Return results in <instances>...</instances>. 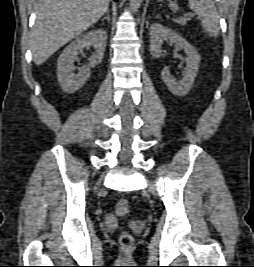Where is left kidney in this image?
I'll return each mask as SVG.
<instances>
[{"label":"left kidney","mask_w":254,"mask_h":267,"mask_svg":"<svg viewBox=\"0 0 254 267\" xmlns=\"http://www.w3.org/2000/svg\"><path fill=\"white\" fill-rule=\"evenodd\" d=\"M164 40L174 43L176 49L184 50L187 54L185 59L186 68L181 80H177L171 75L167 67L162 70V79L170 92L177 96H184L190 91L194 83L199 69L200 55L197 50L177 32L159 23H154L150 27V53L153 57L158 58L162 55L161 45Z\"/></svg>","instance_id":"5707ae66"}]
</instances>
